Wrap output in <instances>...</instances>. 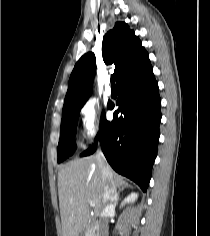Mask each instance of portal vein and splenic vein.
I'll list each match as a JSON object with an SVG mask.
<instances>
[{"label":"portal vein and splenic vein","mask_w":210,"mask_h":236,"mask_svg":"<svg viewBox=\"0 0 210 236\" xmlns=\"http://www.w3.org/2000/svg\"><path fill=\"white\" fill-rule=\"evenodd\" d=\"M90 205H91V206H95V204H94L93 202H90Z\"/></svg>","instance_id":"obj_1"}]
</instances>
